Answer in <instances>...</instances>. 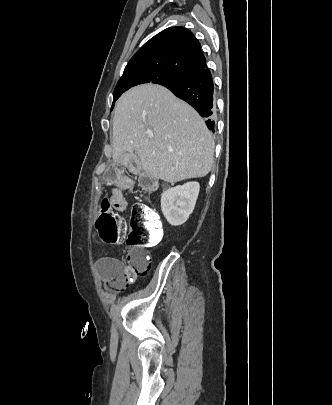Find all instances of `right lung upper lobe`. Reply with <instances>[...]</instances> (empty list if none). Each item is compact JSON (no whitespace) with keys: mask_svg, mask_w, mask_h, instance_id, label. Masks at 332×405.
<instances>
[{"mask_svg":"<svg viewBox=\"0 0 332 405\" xmlns=\"http://www.w3.org/2000/svg\"><path fill=\"white\" fill-rule=\"evenodd\" d=\"M206 59L193 33L170 27L155 35L131 58L124 73L156 70L186 77L205 69Z\"/></svg>","mask_w":332,"mask_h":405,"instance_id":"cb5924a9","label":"right lung upper lobe"}]
</instances>
